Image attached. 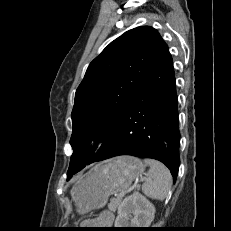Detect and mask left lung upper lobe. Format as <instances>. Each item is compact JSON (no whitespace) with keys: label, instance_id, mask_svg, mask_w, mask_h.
Wrapping results in <instances>:
<instances>
[{"label":"left lung upper lobe","instance_id":"obj_1","mask_svg":"<svg viewBox=\"0 0 231 231\" xmlns=\"http://www.w3.org/2000/svg\"><path fill=\"white\" fill-rule=\"evenodd\" d=\"M165 46L152 27H137L112 41L89 65L75 94L72 111L73 154L67 176L86 166Z\"/></svg>","mask_w":231,"mask_h":231}]
</instances>
